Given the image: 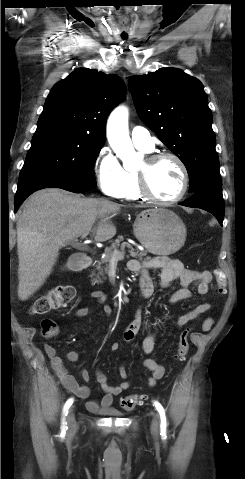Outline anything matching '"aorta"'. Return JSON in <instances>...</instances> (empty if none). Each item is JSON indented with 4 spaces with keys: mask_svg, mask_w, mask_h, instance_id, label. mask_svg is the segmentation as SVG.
Masks as SVG:
<instances>
[{
    "mask_svg": "<svg viewBox=\"0 0 245 479\" xmlns=\"http://www.w3.org/2000/svg\"><path fill=\"white\" fill-rule=\"evenodd\" d=\"M107 138L113 151L129 170L132 162H139V155L134 151L128 132V109L117 107L107 122Z\"/></svg>",
    "mask_w": 245,
    "mask_h": 479,
    "instance_id": "obj_1",
    "label": "aorta"
}]
</instances>
